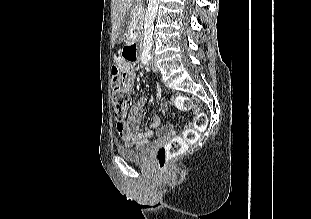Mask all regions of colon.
Masks as SVG:
<instances>
[{
  "mask_svg": "<svg viewBox=\"0 0 311 219\" xmlns=\"http://www.w3.org/2000/svg\"><path fill=\"white\" fill-rule=\"evenodd\" d=\"M137 53L134 49H128L125 56L130 60L136 59ZM113 83V105L114 114L117 120H123L127 109V92L125 91V75L120 74L117 67L112 71ZM174 105L177 109L188 111L194 109L192 100L185 95H177L174 98ZM207 126V116L204 112L195 109V118L191 126L186 128L182 136H176L171 139L166 145L158 149L156 153V162L161 171H166L173 159L182 155L189 144H195L201 135V132Z\"/></svg>",
  "mask_w": 311,
  "mask_h": 219,
  "instance_id": "5ec220e1",
  "label": "colon"
}]
</instances>
